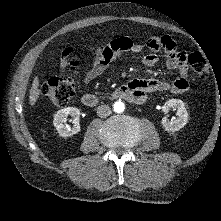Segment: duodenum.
I'll return each instance as SVG.
<instances>
[{"label":"duodenum","mask_w":221,"mask_h":221,"mask_svg":"<svg viewBox=\"0 0 221 221\" xmlns=\"http://www.w3.org/2000/svg\"><path fill=\"white\" fill-rule=\"evenodd\" d=\"M116 98H122L131 102H137L135 94L127 85L117 88L108 96V99ZM81 100L86 107L93 108L98 106L103 99L98 95L86 93L82 96Z\"/></svg>","instance_id":"duodenum-1"}]
</instances>
